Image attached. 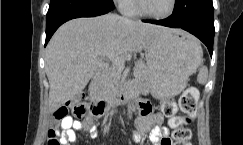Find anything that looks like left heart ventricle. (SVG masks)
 Returning a JSON list of instances; mask_svg holds the SVG:
<instances>
[{"label":"left heart ventricle","mask_w":243,"mask_h":145,"mask_svg":"<svg viewBox=\"0 0 243 145\" xmlns=\"http://www.w3.org/2000/svg\"><path fill=\"white\" fill-rule=\"evenodd\" d=\"M144 9L153 14H164L170 6L171 0H141Z\"/></svg>","instance_id":"obj_1"}]
</instances>
